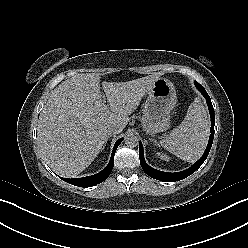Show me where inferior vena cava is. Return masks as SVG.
<instances>
[{
	"label": "inferior vena cava",
	"instance_id": "inferior-vena-cava-1",
	"mask_svg": "<svg viewBox=\"0 0 248 248\" xmlns=\"http://www.w3.org/2000/svg\"><path fill=\"white\" fill-rule=\"evenodd\" d=\"M106 132L108 136H112V135L119 134L121 132V129L115 124H110V125H107Z\"/></svg>",
	"mask_w": 248,
	"mask_h": 248
}]
</instances>
